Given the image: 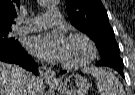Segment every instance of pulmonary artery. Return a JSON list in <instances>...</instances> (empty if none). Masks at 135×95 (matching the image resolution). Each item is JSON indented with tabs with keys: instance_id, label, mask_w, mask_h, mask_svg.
<instances>
[{
	"instance_id": "1",
	"label": "pulmonary artery",
	"mask_w": 135,
	"mask_h": 95,
	"mask_svg": "<svg viewBox=\"0 0 135 95\" xmlns=\"http://www.w3.org/2000/svg\"><path fill=\"white\" fill-rule=\"evenodd\" d=\"M61 21L62 18L60 12L56 9H52L41 16H36L27 19L26 23L24 25H18L14 29V32L27 33V32L40 31L47 28L48 26L59 24Z\"/></svg>"
}]
</instances>
